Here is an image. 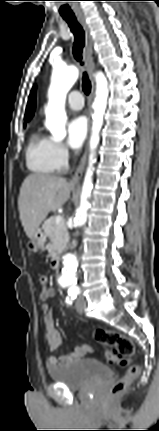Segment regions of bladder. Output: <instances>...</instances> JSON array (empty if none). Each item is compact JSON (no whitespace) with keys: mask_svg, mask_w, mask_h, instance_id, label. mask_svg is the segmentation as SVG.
I'll return each mask as SVG.
<instances>
[{"mask_svg":"<svg viewBox=\"0 0 159 431\" xmlns=\"http://www.w3.org/2000/svg\"><path fill=\"white\" fill-rule=\"evenodd\" d=\"M47 372L52 382L73 390L107 379L112 374L107 365L91 358L78 359L64 366L49 367Z\"/></svg>","mask_w":159,"mask_h":431,"instance_id":"1","label":"bladder"}]
</instances>
